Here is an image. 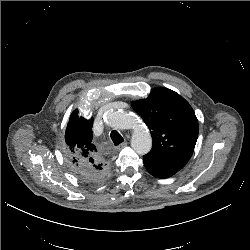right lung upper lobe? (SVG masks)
<instances>
[{"mask_svg":"<svg viewBox=\"0 0 250 250\" xmlns=\"http://www.w3.org/2000/svg\"><path fill=\"white\" fill-rule=\"evenodd\" d=\"M93 118L85 119L78 116V109L70 116L66 133L64 151L69 163L84 170L102 171L108 168L109 161L100 153L92 143Z\"/></svg>","mask_w":250,"mask_h":250,"instance_id":"1","label":"right lung upper lobe"}]
</instances>
